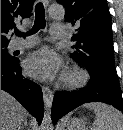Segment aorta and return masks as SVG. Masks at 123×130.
Segmentation results:
<instances>
[{"label":"aorta","mask_w":123,"mask_h":130,"mask_svg":"<svg viewBox=\"0 0 123 130\" xmlns=\"http://www.w3.org/2000/svg\"><path fill=\"white\" fill-rule=\"evenodd\" d=\"M49 16L53 19H63L65 15V9L60 4H52L48 9ZM41 130H53V124L51 119V114L49 111L45 112L42 123Z\"/></svg>","instance_id":"1"}]
</instances>
